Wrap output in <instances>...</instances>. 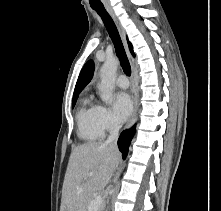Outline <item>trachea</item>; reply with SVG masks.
Segmentation results:
<instances>
[{"instance_id": "obj_1", "label": "trachea", "mask_w": 221, "mask_h": 211, "mask_svg": "<svg viewBox=\"0 0 221 211\" xmlns=\"http://www.w3.org/2000/svg\"><path fill=\"white\" fill-rule=\"evenodd\" d=\"M93 9L101 17V19H102V21L108 31V34L114 44L116 54L120 60V63H121L124 73L127 76H130L131 75V67H130L125 49L123 47V44H122V41H121V38H120V35L118 33L115 23L113 22L111 16L108 14V12L106 11L105 8H93Z\"/></svg>"}]
</instances>
